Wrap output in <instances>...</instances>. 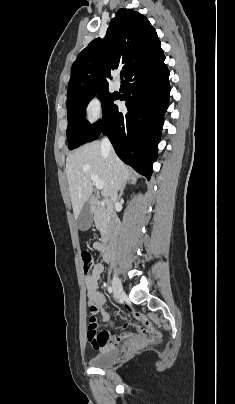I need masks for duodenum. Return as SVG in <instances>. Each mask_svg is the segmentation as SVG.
I'll return each instance as SVG.
<instances>
[{
	"instance_id": "obj_1",
	"label": "duodenum",
	"mask_w": 235,
	"mask_h": 404,
	"mask_svg": "<svg viewBox=\"0 0 235 404\" xmlns=\"http://www.w3.org/2000/svg\"><path fill=\"white\" fill-rule=\"evenodd\" d=\"M99 204L98 201L94 202V205L97 206ZM103 248H104V258L106 261L110 260L111 252L113 251L116 245V221H112V227L108 230L103 236Z\"/></svg>"
}]
</instances>
